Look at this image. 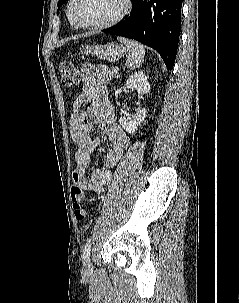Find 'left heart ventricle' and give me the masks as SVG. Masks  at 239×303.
Instances as JSON below:
<instances>
[{"instance_id": "obj_1", "label": "left heart ventricle", "mask_w": 239, "mask_h": 303, "mask_svg": "<svg viewBox=\"0 0 239 303\" xmlns=\"http://www.w3.org/2000/svg\"><path fill=\"white\" fill-rule=\"evenodd\" d=\"M123 9V0H80L78 15L86 24H97L116 17Z\"/></svg>"}]
</instances>
